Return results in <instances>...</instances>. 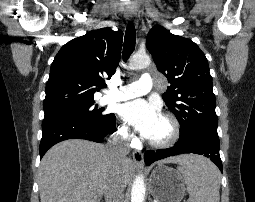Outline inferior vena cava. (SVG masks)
Returning a JSON list of instances; mask_svg holds the SVG:
<instances>
[{
  "instance_id": "1",
  "label": "inferior vena cava",
  "mask_w": 255,
  "mask_h": 202,
  "mask_svg": "<svg viewBox=\"0 0 255 202\" xmlns=\"http://www.w3.org/2000/svg\"><path fill=\"white\" fill-rule=\"evenodd\" d=\"M107 148L118 163L126 161V156L129 153L127 133L120 132L114 135L112 140L109 141ZM104 194L106 202H122L124 194V183L119 169H117L113 176L109 179L105 187Z\"/></svg>"
}]
</instances>
